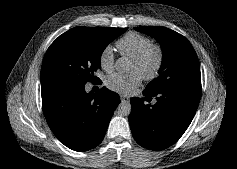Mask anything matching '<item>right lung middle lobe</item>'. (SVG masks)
Masks as SVG:
<instances>
[{
    "mask_svg": "<svg viewBox=\"0 0 237 169\" xmlns=\"http://www.w3.org/2000/svg\"><path fill=\"white\" fill-rule=\"evenodd\" d=\"M126 28L75 27L60 35L48 48L41 68V82L50 80L86 84L98 81L106 46Z\"/></svg>",
    "mask_w": 237,
    "mask_h": 169,
    "instance_id": "right-lung-middle-lobe-1",
    "label": "right lung middle lobe"
}]
</instances>
